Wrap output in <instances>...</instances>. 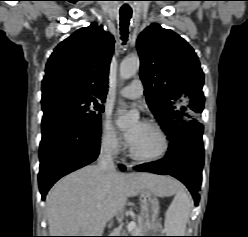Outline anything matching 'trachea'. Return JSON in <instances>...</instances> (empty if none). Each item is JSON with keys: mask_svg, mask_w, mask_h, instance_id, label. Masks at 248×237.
Returning <instances> with one entry per match:
<instances>
[{"mask_svg": "<svg viewBox=\"0 0 248 237\" xmlns=\"http://www.w3.org/2000/svg\"><path fill=\"white\" fill-rule=\"evenodd\" d=\"M132 16V10L127 8L120 9V30L122 40L125 43L128 39V26L130 24V18Z\"/></svg>", "mask_w": 248, "mask_h": 237, "instance_id": "trachea-1", "label": "trachea"}]
</instances>
